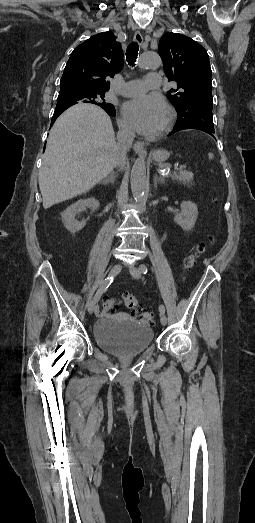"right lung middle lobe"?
I'll return each instance as SVG.
<instances>
[{
	"label": "right lung middle lobe",
	"instance_id": "1",
	"mask_svg": "<svg viewBox=\"0 0 255 523\" xmlns=\"http://www.w3.org/2000/svg\"><path fill=\"white\" fill-rule=\"evenodd\" d=\"M101 100H104V92L87 91L79 89H64L60 90L59 96L57 98V103L77 101L93 103Z\"/></svg>",
	"mask_w": 255,
	"mask_h": 523
}]
</instances>
